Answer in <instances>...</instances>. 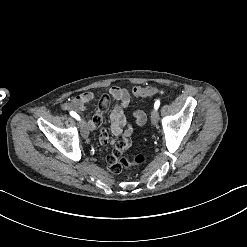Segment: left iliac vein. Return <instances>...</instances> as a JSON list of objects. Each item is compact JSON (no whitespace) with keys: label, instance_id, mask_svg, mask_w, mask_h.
<instances>
[{"label":"left iliac vein","instance_id":"4c4485c4","mask_svg":"<svg viewBox=\"0 0 247 247\" xmlns=\"http://www.w3.org/2000/svg\"><path fill=\"white\" fill-rule=\"evenodd\" d=\"M150 117H151L152 124L157 127L158 122H159V115H158V112L156 111V109L151 110Z\"/></svg>","mask_w":247,"mask_h":247}]
</instances>
